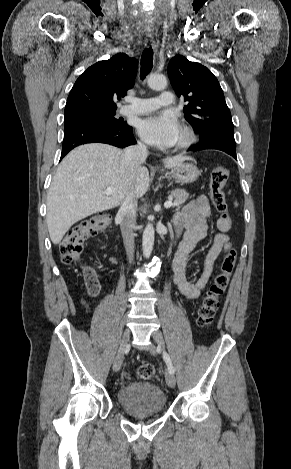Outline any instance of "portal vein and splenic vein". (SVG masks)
<instances>
[{
  "label": "portal vein and splenic vein",
  "instance_id": "portal-vein-and-splenic-vein-1",
  "mask_svg": "<svg viewBox=\"0 0 291 469\" xmlns=\"http://www.w3.org/2000/svg\"><path fill=\"white\" fill-rule=\"evenodd\" d=\"M113 192H114V188L107 187L105 189V194L106 195H111V194H113ZM172 205H173V203H172L171 200L166 201L165 204H164L165 208H170Z\"/></svg>",
  "mask_w": 291,
  "mask_h": 469
}]
</instances>
